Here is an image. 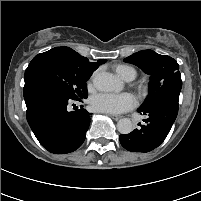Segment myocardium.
<instances>
[{"label": "myocardium", "instance_id": "myocardium-1", "mask_svg": "<svg viewBox=\"0 0 201 201\" xmlns=\"http://www.w3.org/2000/svg\"><path fill=\"white\" fill-rule=\"evenodd\" d=\"M138 90H139L140 93L143 92V88L142 87H139Z\"/></svg>", "mask_w": 201, "mask_h": 201}]
</instances>
